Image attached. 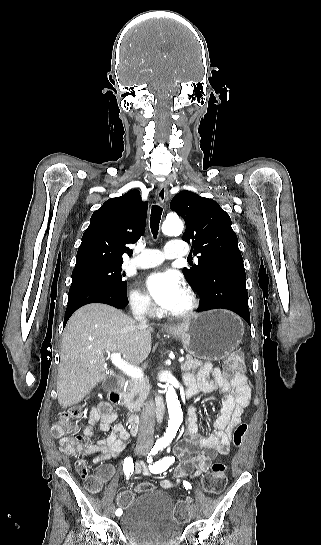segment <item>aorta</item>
<instances>
[{
	"mask_svg": "<svg viewBox=\"0 0 321 545\" xmlns=\"http://www.w3.org/2000/svg\"><path fill=\"white\" fill-rule=\"evenodd\" d=\"M183 229L184 225L179 218L166 219L162 224V232L168 236H179ZM166 402L169 413V421L166 433L160 440V442L164 445H168L170 442H172L183 419V413L176 391L169 385L166 389Z\"/></svg>",
	"mask_w": 321,
	"mask_h": 545,
	"instance_id": "aorta-1",
	"label": "aorta"
}]
</instances>
